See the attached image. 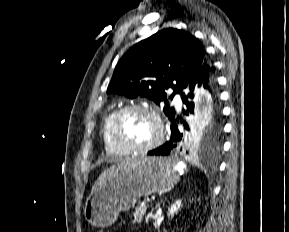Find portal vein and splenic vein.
Wrapping results in <instances>:
<instances>
[{
	"mask_svg": "<svg viewBox=\"0 0 289 232\" xmlns=\"http://www.w3.org/2000/svg\"><path fill=\"white\" fill-rule=\"evenodd\" d=\"M151 200L149 199V198H147L146 200H145V203H149Z\"/></svg>",
	"mask_w": 289,
	"mask_h": 232,
	"instance_id": "obj_1",
	"label": "portal vein and splenic vein"
}]
</instances>
